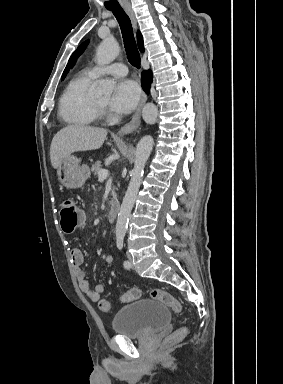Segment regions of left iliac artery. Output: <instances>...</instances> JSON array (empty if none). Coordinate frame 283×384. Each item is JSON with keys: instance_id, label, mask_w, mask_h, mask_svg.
Masks as SVG:
<instances>
[{"instance_id": "1", "label": "left iliac artery", "mask_w": 283, "mask_h": 384, "mask_svg": "<svg viewBox=\"0 0 283 384\" xmlns=\"http://www.w3.org/2000/svg\"><path fill=\"white\" fill-rule=\"evenodd\" d=\"M117 247H118L119 250L123 249V237H118L117 238ZM123 265H124L125 268H130V263L127 260H125L123 262Z\"/></svg>"}]
</instances>
